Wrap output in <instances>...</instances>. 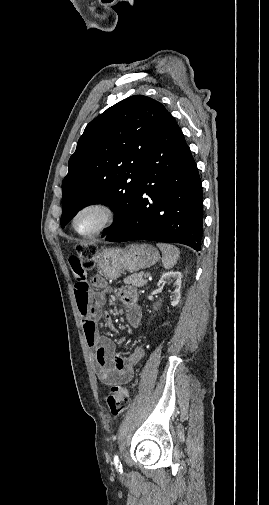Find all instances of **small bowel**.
I'll list each match as a JSON object with an SVG mask.
<instances>
[{"mask_svg": "<svg viewBox=\"0 0 269 505\" xmlns=\"http://www.w3.org/2000/svg\"><path fill=\"white\" fill-rule=\"evenodd\" d=\"M69 269L75 278V297L82 318L83 331L87 345L94 353L96 373L98 379L105 385H121L131 381L135 365L145 354V346L137 347L129 356L115 351L113 341L99 334L98 322L102 319L112 326L110 315L103 310L104 297L90 295L86 281L87 271L82 267L80 259H70ZM93 283L97 287H104L105 281L99 275L94 276ZM119 297L126 307L127 320L132 326H138L141 310L137 304V294L130 287L119 290Z\"/></svg>", "mask_w": 269, "mask_h": 505, "instance_id": "1", "label": "small bowel"}]
</instances>
